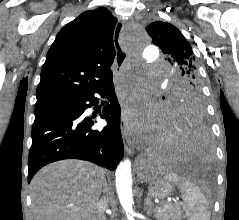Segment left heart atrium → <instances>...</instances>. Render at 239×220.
I'll return each mask as SVG.
<instances>
[{"label": "left heart atrium", "instance_id": "left-heart-atrium-1", "mask_svg": "<svg viewBox=\"0 0 239 220\" xmlns=\"http://www.w3.org/2000/svg\"><path fill=\"white\" fill-rule=\"evenodd\" d=\"M143 107L145 108V112H148L150 111V109H152V107L147 103H143ZM127 120L130 126L136 132H142L143 129H146L151 126V123L154 121V118H139L138 111L134 109H129L127 112Z\"/></svg>", "mask_w": 239, "mask_h": 220}]
</instances>
